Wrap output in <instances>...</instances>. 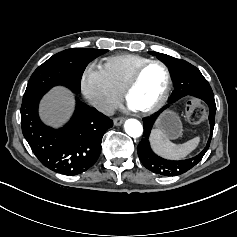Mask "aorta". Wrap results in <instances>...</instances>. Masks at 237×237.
I'll use <instances>...</instances> for the list:
<instances>
[{
    "mask_svg": "<svg viewBox=\"0 0 237 237\" xmlns=\"http://www.w3.org/2000/svg\"><path fill=\"white\" fill-rule=\"evenodd\" d=\"M125 132L132 138H140L143 134V126L136 119H129L125 122Z\"/></svg>",
    "mask_w": 237,
    "mask_h": 237,
    "instance_id": "1",
    "label": "aorta"
}]
</instances>
